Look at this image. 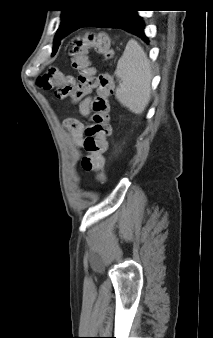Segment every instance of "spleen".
<instances>
[{
	"mask_svg": "<svg viewBox=\"0 0 213 338\" xmlns=\"http://www.w3.org/2000/svg\"><path fill=\"white\" fill-rule=\"evenodd\" d=\"M115 75L121 80L116 99L131 112L142 113L151 98L152 71L144 49L136 40L128 41Z\"/></svg>",
	"mask_w": 213,
	"mask_h": 338,
	"instance_id": "obj_1",
	"label": "spleen"
}]
</instances>
